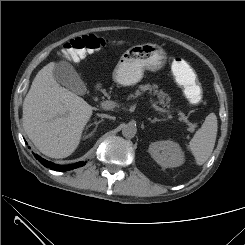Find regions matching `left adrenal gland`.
<instances>
[{"label": "left adrenal gland", "mask_w": 245, "mask_h": 245, "mask_svg": "<svg viewBox=\"0 0 245 245\" xmlns=\"http://www.w3.org/2000/svg\"><path fill=\"white\" fill-rule=\"evenodd\" d=\"M163 120H164V119H158V118H156V117H155L153 120L150 119V121H151L152 123H154V122H156V121H163Z\"/></svg>", "instance_id": "obj_1"}]
</instances>
